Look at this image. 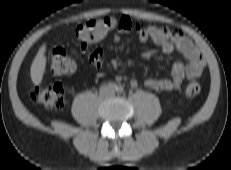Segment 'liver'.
I'll return each mask as SVG.
<instances>
[{
	"label": "liver",
	"instance_id": "1",
	"mask_svg": "<svg viewBox=\"0 0 231 170\" xmlns=\"http://www.w3.org/2000/svg\"><path fill=\"white\" fill-rule=\"evenodd\" d=\"M45 52H46V44H43L39 48L31 64L30 76L34 85H39L42 82L43 75L45 72V67H46Z\"/></svg>",
	"mask_w": 231,
	"mask_h": 170
}]
</instances>
